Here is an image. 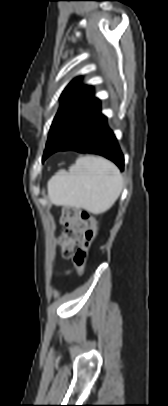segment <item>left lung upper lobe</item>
<instances>
[{
	"label": "left lung upper lobe",
	"mask_w": 168,
	"mask_h": 406,
	"mask_svg": "<svg viewBox=\"0 0 168 406\" xmlns=\"http://www.w3.org/2000/svg\"><path fill=\"white\" fill-rule=\"evenodd\" d=\"M80 79L71 81L61 95L62 103L53 120L43 158L75 137L99 104L93 88L79 85Z\"/></svg>",
	"instance_id": "obj_1"
}]
</instances>
